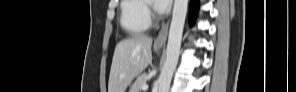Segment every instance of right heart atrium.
Instances as JSON below:
<instances>
[{
	"mask_svg": "<svg viewBox=\"0 0 296 92\" xmlns=\"http://www.w3.org/2000/svg\"><path fill=\"white\" fill-rule=\"evenodd\" d=\"M149 14V11L147 10V15Z\"/></svg>",
	"mask_w": 296,
	"mask_h": 92,
	"instance_id": "obj_1",
	"label": "right heart atrium"
}]
</instances>
